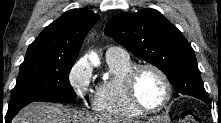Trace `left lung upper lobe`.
Listing matches in <instances>:
<instances>
[{
	"mask_svg": "<svg viewBox=\"0 0 221 123\" xmlns=\"http://www.w3.org/2000/svg\"><path fill=\"white\" fill-rule=\"evenodd\" d=\"M105 33L163 71L175 90V97L179 93L191 95L207 103L194 50L159 11L143 9L114 15L106 24Z\"/></svg>",
	"mask_w": 221,
	"mask_h": 123,
	"instance_id": "1",
	"label": "left lung upper lobe"
}]
</instances>
